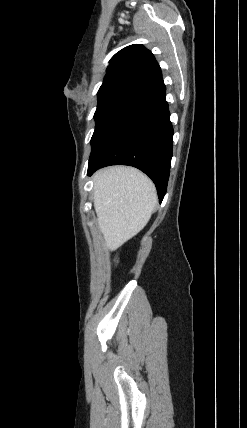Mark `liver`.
I'll return each mask as SVG.
<instances>
[{"mask_svg":"<svg viewBox=\"0 0 247 428\" xmlns=\"http://www.w3.org/2000/svg\"><path fill=\"white\" fill-rule=\"evenodd\" d=\"M94 208L106 247L114 251L148 223L157 202L153 182L139 170L112 166L97 171Z\"/></svg>","mask_w":247,"mask_h":428,"instance_id":"obj_1","label":"liver"}]
</instances>
